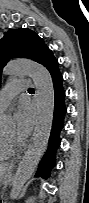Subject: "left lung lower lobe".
Segmentation results:
<instances>
[{"instance_id": "0a47b994", "label": "left lung lower lobe", "mask_w": 89, "mask_h": 203, "mask_svg": "<svg viewBox=\"0 0 89 203\" xmlns=\"http://www.w3.org/2000/svg\"><path fill=\"white\" fill-rule=\"evenodd\" d=\"M39 63L49 70L55 93L54 117L49 138V147L35 174L37 177L48 178L52 168L56 165V151L60 146V131L64 127V115L66 114L64 103L65 91L63 89V77L59 70V63L48 47L44 49Z\"/></svg>"}]
</instances>
